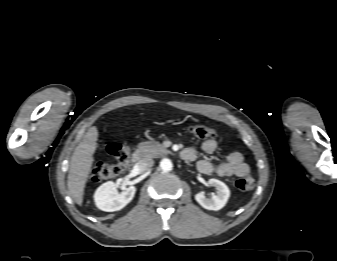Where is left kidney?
Returning <instances> with one entry per match:
<instances>
[{"mask_svg":"<svg viewBox=\"0 0 337 261\" xmlns=\"http://www.w3.org/2000/svg\"><path fill=\"white\" fill-rule=\"evenodd\" d=\"M208 184L215 187L217 193L208 199L204 193L200 192L195 195V200L205 209L220 210L227 203L230 197V190L225 183L217 179H209Z\"/></svg>","mask_w":337,"mask_h":261,"instance_id":"obj_1","label":"left kidney"}]
</instances>
